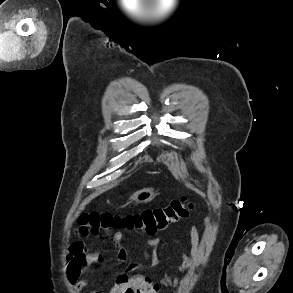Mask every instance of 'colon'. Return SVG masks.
<instances>
[{"mask_svg": "<svg viewBox=\"0 0 293 293\" xmlns=\"http://www.w3.org/2000/svg\"><path fill=\"white\" fill-rule=\"evenodd\" d=\"M192 207L183 196L162 208L128 214L83 212L77 218V232L82 236L109 237L115 230L154 231L183 218Z\"/></svg>", "mask_w": 293, "mask_h": 293, "instance_id": "1", "label": "colon"}]
</instances>
